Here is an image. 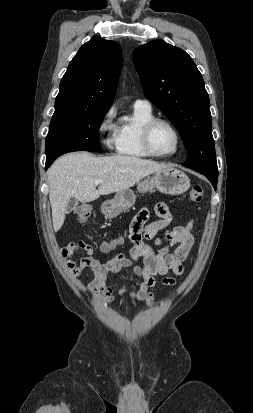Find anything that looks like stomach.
<instances>
[{"mask_svg":"<svg viewBox=\"0 0 253 413\" xmlns=\"http://www.w3.org/2000/svg\"><path fill=\"white\" fill-rule=\"evenodd\" d=\"M190 188L188 176L175 168L168 167L154 173L152 177L147 176L137 183L140 193L158 190L168 195H180ZM136 201V195L131 189L117 192L115 197L102 204V213L108 218H114L121 212L131 208Z\"/></svg>","mask_w":253,"mask_h":413,"instance_id":"0dacf381","label":"stomach"}]
</instances>
